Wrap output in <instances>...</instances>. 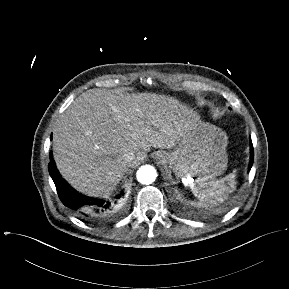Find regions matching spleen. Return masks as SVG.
<instances>
[{"label": "spleen", "instance_id": "spleen-1", "mask_svg": "<svg viewBox=\"0 0 289 289\" xmlns=\"http://www.w3.org/2000/svg\"><path fill=\"white\" fill-rule=\"evenodd\" d=\"M235 177L234 173H230L219 180L207 181L204 178H199L196 185H191V190L202 202L222 203L236 189Z\"/></svg>", "mask_w": 289, "mask_h": 289}]
</instances>
